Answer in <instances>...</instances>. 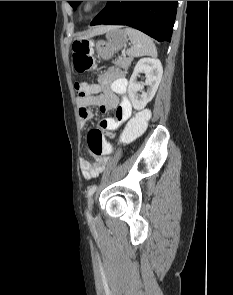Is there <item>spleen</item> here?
<instances>
[{
  "mask_svg": "<svg viewBox=\"0 0 233 295\" xmlns=\"http://www.w3.org/2000/svg\"><path fill=\"white\" fill-rule=\"evenodd\" d=\"M125 33L129 36L131 42L133 43V47L127 51L129 56H157L156 46L149 36L131 27H126Z\"/></svg>",
  "mask_w": 233,
  "mask_h": 295,
  "instance_id": "1",
  "label": "spleen"
}]
</instances>
